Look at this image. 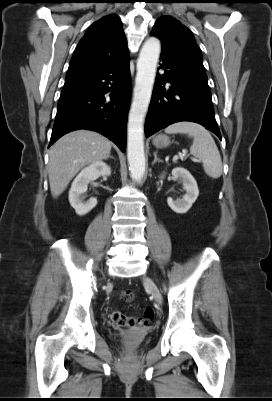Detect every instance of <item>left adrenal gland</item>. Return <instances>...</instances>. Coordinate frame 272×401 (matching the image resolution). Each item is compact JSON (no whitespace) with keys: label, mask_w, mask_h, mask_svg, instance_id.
<instances>
[{"label":"left adrenal gland","mask_w":272,"mask_h":401,"mask_svg":"<svg viewBox=\"0 0 272 401\" xmlns=\"http://www.w3.org/2000/svg\"><path fill=\"white\" fill-rule=\"evenodd\" d=\"M156 162H162V160L159 159V158L157 157V153L154 152V161L152 162V165H154Z\"/></svg>","instance_id":"a2214340"}]
</instances>
